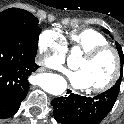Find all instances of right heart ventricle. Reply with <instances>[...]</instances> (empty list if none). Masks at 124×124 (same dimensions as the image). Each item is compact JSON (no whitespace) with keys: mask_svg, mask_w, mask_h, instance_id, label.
<instances>
[{"mask_svg":"<svg viewBox=\"0 0 124 124\" xmlns=\"http://www.w3.org/2000/svg\"><path fill=\"white\" fill-rule=\"evenodd\" d=\"M104 44H109L107 37L92 28H85L77 32H72L68 40L64 41L66 50H76L82 54L95 46Z\"/></svg>","mask_w":124,"mask_h":124,"instance_id":"1","label":"right heart ventricle"}]
</instances>
